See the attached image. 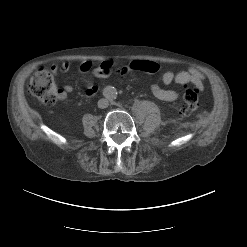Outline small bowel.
<instances>
[{
    "instance_id": "1",
    "label": "small bowel",
    "mask_w": 247,
    "mask_h": 247,
    "mask_svg": "<svg viewBox=\"0 0 247 247\" xmlns=\"http://www.w3.org/2000/svg\"><path fill=\"white\" fill-rule=\"evenodd\" d=\"M70 68L68 63H62L60 65H53L51 67L53 73L67 72ZM76 68L80 72H88L91 69V63L88 61H81L76 65ZM129 71H144L147 73H156L159 71V65L152 61L146 60H135L132 61L128 66L120 68L118 72L121 75L127 74ZM160 82L164 85L177 84L186 85L193 84L199 90H203L205 86L204 75L195 68H189L188 70L174 73L172 71L164 72L160 77ZM73 91L71 84H65L63 89L59 91V98L64 99L68 93ZM151 91L153 95L163 101L175 102L179 98L178 92L163 88L159 83L151 85ZM97 93L96 86H89L85 90L87 96H94Z\"/></svg>"
}]
</instances>
